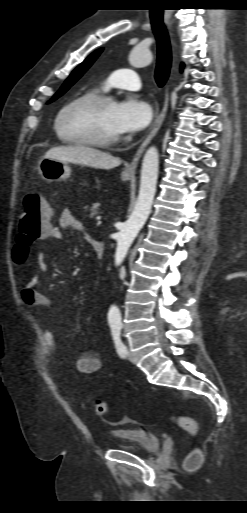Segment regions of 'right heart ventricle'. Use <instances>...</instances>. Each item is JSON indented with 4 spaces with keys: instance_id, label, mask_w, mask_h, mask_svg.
<instances>
[{
    "instance_id": "1",
    "label": "right heart ventricle",
    "mask_w": 247,
    "mask_h": 513,
    "mask_svg": "<svg viewBox=\"0 0 247 513\" xmlns=\"http://www.w3.org/2000/svg\"><path fill=\"white\" fill-rule=\"evenodd\" d=\"M91 93H97V90L92 89V90H89V91L85 92V94H91ZM59 137H60L63 141H65V142H69V143H70V141L68 140L67 136H65V135H64V136H60V135H59Z\"/></svg>"
}]
</instances>
